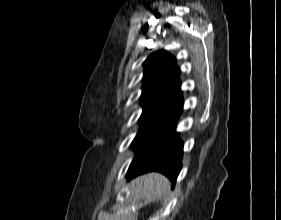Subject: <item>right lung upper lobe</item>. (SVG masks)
Returning <instances> with one entry per match:
<instances>
[{"label":"right lung upper lobe","instance_id":"1","mask_svg":"<svg viewBox=\"0 0 281 220\" xmlns=\"http://www.w3.org/2000/svg\"><path fill=\"white\" fill-rule=\"evenodd\" d=\"M144 84L141 102V118L173 120L183 107L178 68L175 59L162 50L149 56L144 62Z\"/></svg>","mask_w":281,"mask_h":220}]
</instances>
